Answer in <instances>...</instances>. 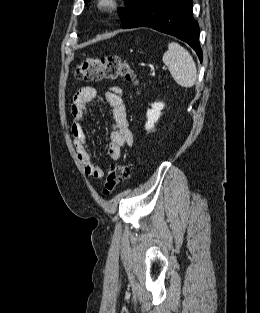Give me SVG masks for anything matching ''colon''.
<instances>
[{
    "label": "colon",
    "mask_w": 260,
    "mask_h": 313,
    "mask_svg": "<svg viewBox=\"0 0 260 313\" xmlns=\"http://www.w3.org/2000/svg\"><path fill=\"white\" fill-rule=\"evenodd\" d=\"M75 76L78 80L97 82L102 80H126L137 82V75L132 65L117 56L87 58L77 67ZM130 175L128 166L115 164L104 183L103 194L108 196Z\"/></svg>",
    "instance_id": "1"
}]
</instances>
